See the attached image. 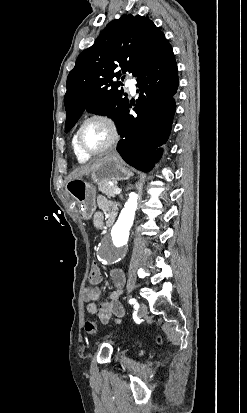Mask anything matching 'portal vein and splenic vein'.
I'll return each mask as SVG.
<instances>
[{
	"label": "portal vein and splenic vein",
	"mask_w": 247,
	"mask_h": 413,
	"mask_svg": "<svg viewBox=\"0 0 247 413\" xmlns=\"http://www.w3.org/2000/svg\"><path fill=\"white\" fill-rule=\"evenodd\" d=\"M121 188H114L113 194H120Z\"/></svg>",
	"instance_id": "portal-vein-and-splenic-vein-1"
}]
</instances>
